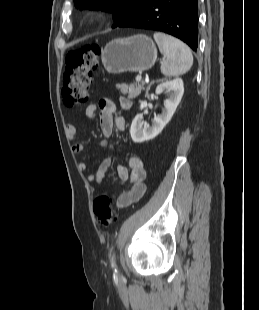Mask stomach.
Segmentation results:
<instances>
[{
	"mask_svg": "<svg viewBox=\"0 0 259 310\" xmlns=\"http://www.w3.org/2000/svg\"><path fill=\"white\" fill-rule=\"evenodd\" d=\"M102 63L110 74L142 72L157 59V49L151 38L135 35L110 41L102 50Z\"/></svg>",
	"mask_w": 259,
	"mask_h": 310,
	"instance_id": "obj_1",
	"label": "stomach"
}]
</instances>
